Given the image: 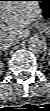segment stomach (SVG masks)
<instances>
[{"label": "stomach", "mask_w": 50, "mask_h": 111, "mask_svg": "<svg viewBox=\"0 0 50 111\" xmlns=\"http://www.w3.org/2000/svg\"><path fill=\"white\" fill-rule=\"evenodd\" d=\"M40 20L49 27L50 24V0H39Z\"/></svg>", "instance_id": "obj_1"}]
</instances>
